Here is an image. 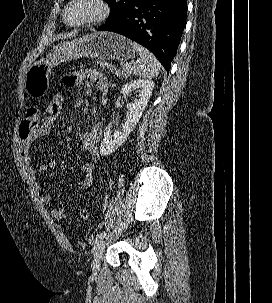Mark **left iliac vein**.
<instances>
[{
    "mask_svg": "<svg viewBox=\"0 0 272 303\" xmlns=\"http://www.w3.org/2000/svg\"><path fill=\"white\" fill-rule=\"evenodd\" d=\"M106 246V239L103 237L99 239L93 248V260H92V270L94 273H96L99 270L100 267V261L104 252Z\"/></svg>",
    "mask_w": 272,
    "mask_h": 303,
    "instance_id": "left-iliac-vein-1",
    "label": "left iliac vein"
}]
</instances>
